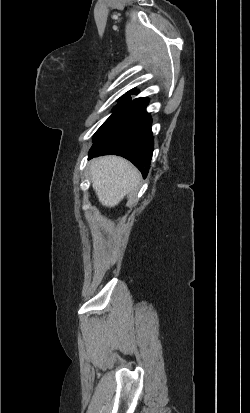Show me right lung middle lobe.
<instances>
[{
    "label": "right lung middle lobe",
    "instance_id": "obj_1",
    "mask_svg": "<svg viewBox=\"0 0 250 413\" xmlns=\"http://www.w3.org/2000/svg\"><path fill=\"white\" fill-rule=\"evenodd\" d=\"M130 96L124 95L123 97L118 99V104L114 107L113 114L103 123V125L97 130L95 133V138L93 142L104 136L108 133L112 128H114L120 119L123 117L125 112L128 110L131 104Z\"/></svg>",
    "mask_w": 250,
    "mask_h": 413
}]
</instances>
